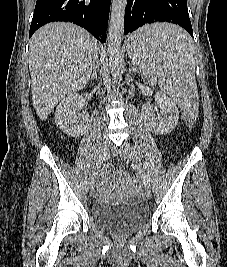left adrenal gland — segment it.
Wrapping results in <instances>:
<instances>
[{
	"mask_svg": "<svg viewBox=\"0 0 227 267\" xmlns=\"http://www.w3.org/2000/svg\"><path fill=\"white\" fill-rule=\"evenodd\" d=\"M130 66H131L130 73H131V72H135V73H136L137 70H136L132 65H130Z\"/></svg>",
	"mask_w": 227,
	"mask_h": 267,
	"instance_id": "obj_1",
	"label": "left adrenal gland"
}]
</instances>
